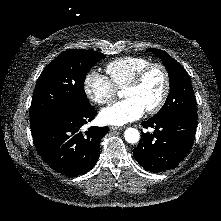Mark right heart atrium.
I'll return each mask as SVG.
<instances>
[{"instance_id": "d8ad5b80", "label": "right heart atrium", "mask_w": 221, "mask_h": 221, "mask_svg": "<svg viewBox=\"0 0 221 221\" xmlns=\"http://www.w3.org/2000/svg\"><path fill=\"white\" fill-rule=\"evenodd\" d=\"M84 92L94 104L105 105L113 101L117 88L105 75L90 71L84 79Z\"/></svg>"}]
</instances>
